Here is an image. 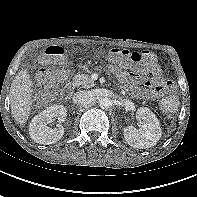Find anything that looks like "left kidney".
Segmentation results:
<instances>
[{"label": "left kidney", "mask_w": 197, "mask_h": 197, "mask_svg": "<svg viewBox=\"0 0 197 197\" xmlns=\"http://www.w3.org/2000/svg\"><path fill=\"white\" fill-rule=\"evenodd\" d=\"M136 119L141 124L139 129L127 126L124 129V138L133 148L147 149L156 145L162 136L159 121L155 114L147 107H140Z\"/></svg>", "instance_id": "left-kidney-1"}]
</instances>
